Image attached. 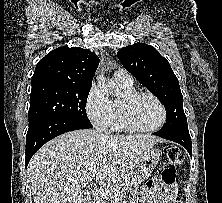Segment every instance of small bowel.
<instances>
[{
	"label": "small bowel",
	"mask_w": 222,
	"mask_h": 203,
	"mask_svg": "<svg viewBox=\"0 0 222 203\" xmlns=\"http://www.w3.org/2000/svg\"><path fill=\"white\" fill-rule=\"evenodd\" d=\"M177 192V184H166L159 177H155L138 191L137 198L149 203H177ZM138 202L137 200L133 203Z\"/></svg>",
	"instance_id": "small-bowel-1"
}]
</instances>
